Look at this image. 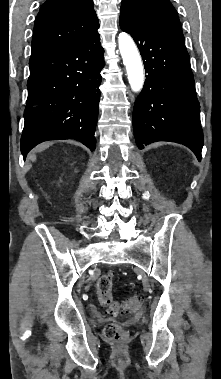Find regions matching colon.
<instances>
[{
	"mask_svg": "<svg viewBox=\"0 0 221 379\" xmlns=\"http://www.w3.org/2000/svg\"><path fill=\"white\" fill-rule=\"evenodd\" d=\"M112 287V274L107 273L99 278L97 282L98 300L102 306L108 307L112 314L128 316L139 308L142 302L141 296L133 295L116 301L111 296ZM104 335L110 341H122L126 339L127 332L120 324L111 322L106 325Z\"/></svg>",
	"mask_w": 221,
	"mask_h": 379,
	"instance_id": "1",
	"label": "colon"
}]
</instances>
